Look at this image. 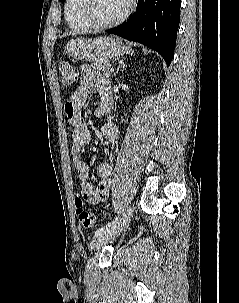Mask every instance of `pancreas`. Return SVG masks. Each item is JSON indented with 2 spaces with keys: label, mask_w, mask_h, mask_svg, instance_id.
<instances>
[{
  "label": "pancreas",
  "mask_w": 239,
  "mask_h": 303,
  "mask_svg": "<svg viewBox=\"0 0 239 303\" xmlns=\"http://www.w3.org/2000/svg\"><path fill=\"white\" fill-rule=\"evenodd\" d=\"M94 66L98 71H101L105 77L110 76V71H109L110 64L109 63H103V62L97 61L94 64Z\"/></svg>",
  "instance_id": "cf45deb5"
}]
</instances>
